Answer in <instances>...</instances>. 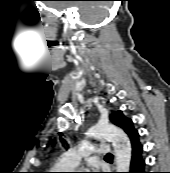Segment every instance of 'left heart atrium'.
Wrapping results in <instances>:
<instances>
[{
  "label": "left heart atrium",
  "instance_id": "obj_1",
  "mask_svg": "<svg viewBox=\"0 0 170 173\" xmlns=\"http://www.w3.org/2000/svg\"><path fill=\"white\" fill-rule=\"evenodd\" d=\"M92 170L97 171V169L95 167H93Z\"/></svg>",
  "mask_w": 170,
  "mask_h": 173
}]
</instances>
